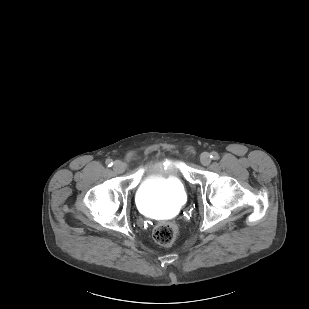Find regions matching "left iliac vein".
Masks as SVG:
<instances>
[{"instance_id": "obj_1", "label": "left iliac vein", "mask_w": 309, "mask_h": 309, "mask_svg": "<svg viewBox=\"0 0 309 309\" xmlns=\"http://www.w3.org/2000/svg\"><path fill=\"white\" fill-rule=\"evenodd\" d=\"M200 161L202 165L208 166L211 163L210 155L208 153H202L200 156Z\"/></svg>"}]
</instances>
